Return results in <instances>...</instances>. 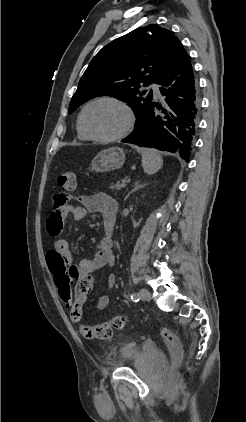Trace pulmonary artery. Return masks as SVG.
Returning a JSON list of instances; mask_svg holds the SVG:
<instances>
[{
  "label": "pulmonary artery",
  "mask_w": 246,
  "mask_h": 422,
  "mask_svg": "<svg viewBox=\"0 0 246 422\" xmlns=\"http://www.w3.org/2000/svg\"><path fill=\"white\" fill-rule=\"evenodd\" d=\"M150 88L152 89L153 94H154L156 97H159V95H160V91H159L158 86H157L156 84H152V85L150 86Z\"/></svg>",
  "instance_id": "1"
}]
</instances>
